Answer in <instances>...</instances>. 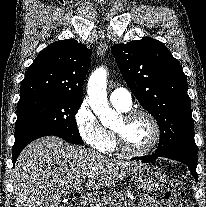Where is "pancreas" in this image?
Listing matches in <instances>:
<instances>
[{
    "label": "pancreas",
    "mask_w": 206,
    "mask_h": 207,
    "mask_svg": "<svg viewBox=\"0 0 206 207\" xmlns=\"http://www.w3.org/2000/svg\"><path fill=\"white\" fill-rule=\"evenodd\" d=\"M95 207H135L121 192H112L96 204Z\"/></svg>",
    "instance_id": "1"
}]
</instances>
